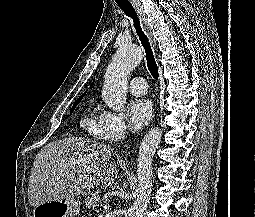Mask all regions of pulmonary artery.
Instances as JSON below:
<instances>
[{"instance_id": "pulmonary-artery-1", "label": "pulmonary artery", "mask_w": 255, "mask_h": 217, "mask_svg": "<svg viewBox=\"0 0 255 217\" xmlns=\"http://www.w3.org/2000/svg\"><path fill=\"white\" fill-rule=\"evenodd\" d=\"M129 91L133 95H144L147 92V83L143 77H134L129 83Z\"/></svg>"}]
</instances>
